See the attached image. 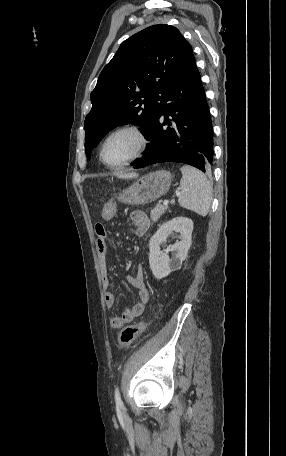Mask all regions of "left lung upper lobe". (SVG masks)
<instances>
[{
  "label": "left lung upper lobe",
  "mask_w": 286,
  "mask_h": 456,
  "mask_svg": "<svg viewBox=\"0 0 286 456\" xmlns=\"http://www.w3.org/2000/svg\"><path fill=\"white\" fill-rule=\"evenodd\" d=\"M194 60L192 47L171 25L150 26L124 41L103 68L90 99L85 151H91L109 130L132 123L146 138L174 82Z\"/></svg>",
  "instance_id": "obj_1"
}]
</instances>
